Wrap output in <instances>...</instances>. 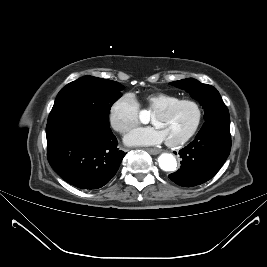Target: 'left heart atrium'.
I'll use <instances>...</instances> for the list:
<instances>
[{"label": "left heart atrium", "mask_w": 267, "mask_h": 267, "mask_svg": "<svg viewBox=\"0 0 267 267\" xmlns=\"http://www.w3.org/2000/svg\"><path fill=\"white\" fill-rule=\"evenodd\" d=\"M164 140L163 132L156 126L135 129L125 138L130 145H155Z\"/></svg>", "instance_id": "left-heart-atrium-1"}]
</instances>
